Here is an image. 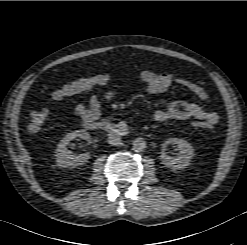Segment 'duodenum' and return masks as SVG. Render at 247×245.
I'll list each match as a JSON object with an SVG mask.
<instances>
[{"instance_id": "obj_1", "label": "duodenum", "mask_w": 247, "mask_h": 245, "mask_svg": "<svg viewBox=\"0 0 247 245\" xmlns=\"http://www.w3.org/2000/svg\"><path fill=\"white\" fill-rule=\"evenodd\" d=\"M84 126L89 130L108 132L116 137H125L129 134V128L125 123L86 121Z\"/></svg>"}]
</instances>
